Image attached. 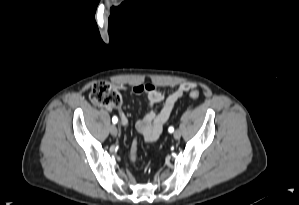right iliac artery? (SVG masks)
Segmentation results:
<instances>
[{"label":"right iliac artery","instance_id":"82829eb1","mask_svg":"<svg viewBox=\"0 0 299 205\" xmlns=\"http://www.w3.org/2000/svg\"><path fill=\"white\" fill-rule=\"evenodd\" d=\"M117 121H118V118H117L116 116H114V117L112 118V122H113L114 124H116Z\"/></svg>","mask_w":299,"mask_h":205}]
</instances>
